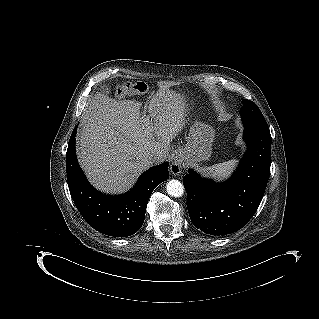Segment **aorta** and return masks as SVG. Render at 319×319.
<instances>
[{"label": "aorta", "mask_w": 319, "mask_h": 319, "mask_svg": "<svg viewBox=\"0 0 319 319\" xmlns=\"http://www.w3.org/2000/svg\"><path fill=\"white\" fill-rule=\"evenodd\" d=\"M166 191L172 197H181L184 193V186L180 181L172 179L167 183Z\"/></svg>", "instance_id": "1"}]
</instances>
